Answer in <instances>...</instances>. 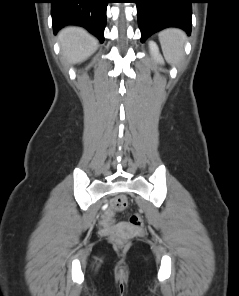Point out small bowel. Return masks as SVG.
<instances>
[{"instance_id":"c3829d8e","label":"small bowel","mask_w":239,"mask_h":296,"mask_svg":"<svg viewBox=\"0 0 239 296\" xmlns=\"http://www.w3.org/2000/svg\"><path fill=\"white\" fill-rule=\"evenodd\" d=\"M103 221L105 224L109 225L112 223L113 221V212L108 210L104 213V218H103Z\"/></svg>"}]
</instances>
